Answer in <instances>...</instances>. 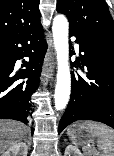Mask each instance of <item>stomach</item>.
Here are the masks:
<instances>
[{"mask_svg":"<svg viewBox=\"0 0 114 156\" xmlns=\"http://www.w3.org/2000/svg\"><path fill=\"white\" fill-rule=\"evenodd\" d=\"M67 135L75 145L89 147L93 142L96 134L92 131H87L82 127V123H75L67 129Z\"/></svg>","mask_w":114,"mask_h":156,"instance_id":"stomach-1","label":"stomach"}]
</instances>
